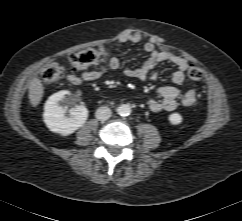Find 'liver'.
Segmentation results:
<instances>
[{
    "instance_id": "1",
    "label": "liver",
    "mask_w": 242,
    "mask_h": 221,
    "mask_svg": "<svg viewBox=\"0 0 242 221\" xmlns=\"http://www.w3.org/2000/svg\"><path fill=\"white\" fill-rule=\"evenodd\" d=\"M44 94V87L41 80L37 77H34L29 84V100L33 107H36L40 104Z\"/></svg>"
}]
</instances>
